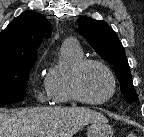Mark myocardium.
I'll list each match as a JSON object with an SVG mask.
<instances>
[{
  "label": "myocardium",
  "instance_id": "obj_1",
  "mask_svg": "<svg viewBox=\"0 0 144 137\" xmlns=\"http://www.w3.org/2000/svg\"><path fill=\"white\" fill-rule=\"evenodd\" d=\"M90 65H97L101 67L106 72V74L108 75L111 81V91L106 97L102 99H98V100L88 99L81 90L80 81H81L82 73ZM70 89H71L72 97L75 101L86 105H102L110 101L115 96L117 91V81L112 70L104 62L97 59L85 58L72 71L71 79H70Z\"/></svg>",
  "mask_w": 144,
  "mask_h": 137
}]
</instances>
